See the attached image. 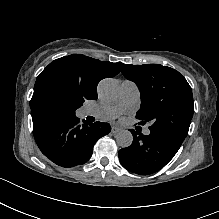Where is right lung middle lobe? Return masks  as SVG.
Returning <instances> with one entry per match:
<instances>
[{
	"label": "right lung middle lobe",
	"mask_w": 219,
	"mask_h": 219,
	"mask_svg": "<svg viewBox=\"0 0 219 219\" xmlns=\"http://www.w3.org/2000/svg\"><path fill=\"white\" fill-rule=\"evenodd\" d=\"M83 98L72 87L59 82L45 83L32 99L33 109L52 110L62 115H75V111L83 105Z\"/></svg>",
	"instance_id": "dd1d6c3e"
}]
</instances>
